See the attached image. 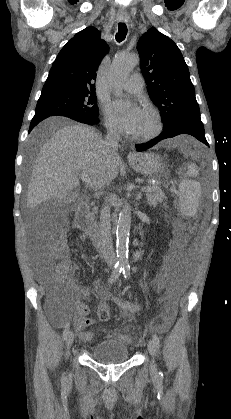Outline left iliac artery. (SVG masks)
I'll return each mask as SVG.
<instances>
[{"label": "left iliac artery", "mask_w": 231, "mask_h": 419, "mask_svg": "<svg viewBox=\"0 0 231 419\" xmlns=\"http://www.w3.org/2000/svg\"><path fill=\"white\" fill-rule=\"evenodd\" d=\"M123 275H124L125 278H129V276H130V265L125 264L123 266ZM152 337H153V341H154L155 345L157 347H159L160 346L159 337L156 334H153ZM159 375L163 376V373L160 371Z\"/></svg>", "instance_id": "left-iliac-artery-1"}]
</instances>
